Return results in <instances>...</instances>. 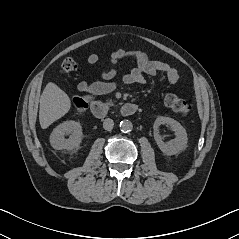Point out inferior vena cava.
I'll return each instance as SVG.
<instances>
[{
	"label": "inferior vena cava",
	"mask_w": 239,
	"mask_h": 239,
	"mask_svg": "<svg viewBox=\"0 0 239 239\" xmlns=\"http://www.w3.org/2000/svg\"><path fill=\"white\" fill-rule=\"evenodd\" d=\"M113 126H114V121H113L112 119L106 118V119L104 120V122H103V128H104L105 130L110 131V130L113 129Z\"/></svg>",
	"instance_id": "obj_1"
}]
</instances>
